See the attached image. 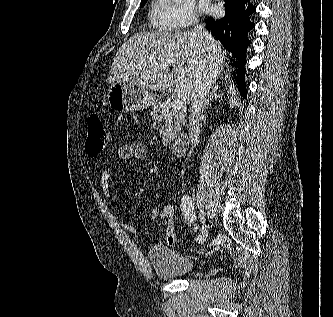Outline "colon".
I'll return each instance as SVG.
<instances>
[{"label":"colon","instance_id":"5ec220e1","mask_svg":"<svg viewBox=\"0 0 333 317\" xmlns=\"http://www.w3.org/2000/svg\"><path fill=\"white\" fill-rule=\"evenodd\" d=\"M109 143L108 132L101 121L100 117L93 113L88 119V136L86 139V153L95 157L99 155ZM158 217L165 223V239L169 246L177 244V236L175 233L176 208L173 204H165L159 209Z\"/></svg>","mask_w":333,"mask_h":317}]
</instances>
